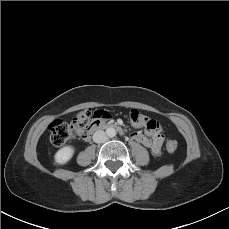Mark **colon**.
<instances>
[{
    "label": "colon",
    "instance_id": "5ec220e1",
    "mask_svg": "<svg viewBox=\"0 0 229 229\" xmlns=\"http://www.w3.org/2000/svg\"><path fill=\"white\" fill-rule=\"evenodd\" d=\"M99 117L109 119L110 113L104 110L93 111L91 109L81 110L73 116L70 123L57 120L49 127V140L51 144L60 146L78 134L84 133L90 126L92 118ZM130 121L135 127H144L149 130L159 129V123L141 114L134 109L130 112ZM166 150L174 153L178 148L176 140L168 139L165 143Z\"/></svg>",
    "mask_w": 229,
    "mask_h": 229
}]
</instances>
